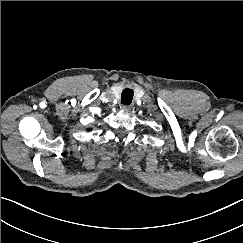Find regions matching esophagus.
Returning a JSON list of instances; mask_svg holds the SVG:
<instances>
[{
	"label": "esophagus",
	"mask_w": 243,
	"mask_h": 243,
	"mask_svg": "<svg viewBox=\"0 0 243 243\" xmlns=\"http://www.w3.org/2000/svg\"><path fill=\"white\" fill-rule=\"evenodd\" d=\"M121 109L123 111L129 112L131 110V106L130 105H122L121 106Z\"/></svg>",
	"instance_id": "34e87169"
}]
</instances>
